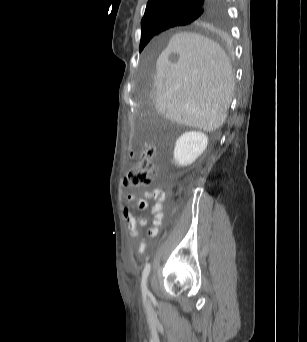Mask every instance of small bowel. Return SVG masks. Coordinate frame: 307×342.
<instances>
[{
  "instance_id": "c3829d8e",
  "label": "small bowel",
  "mask_w": 307,
  "mask_h": 342,
  "mask_svg": "<svg viewBox=\"0 0 307 342\" xmlns=\"http://www.w3.org/2000/svg\"><path fill=\"white\" fill-rule=\"evenodd\" d=\"M153 200L155 201L152 206V214L154 217L153 225L149 228L148 234L152 237L156 236L159 232V227L161 224V219L163 216V208L165 201L164 192L155 188L153 190L147 191L143 198H138L134 194H130L128 196V201L136 206L139 210H146L149 207V202ZM125 219L128 225L130 236L134 239L138 238V227H143L146 225L147 221L143 217H139L134 215L133 213L126 211ZM147 247V243L145 240H141L139 245L136 247V251L138 253H143Z\"/></svg>"
}]
</instances>
